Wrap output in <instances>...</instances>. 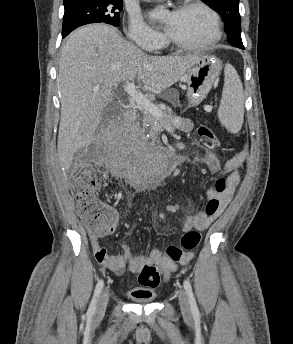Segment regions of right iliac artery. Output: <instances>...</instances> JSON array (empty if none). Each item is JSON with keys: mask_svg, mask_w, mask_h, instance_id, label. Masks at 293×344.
I'll use <instances>...</instances> for the list:
<instances>
[{"mask_svg": "<svg viewBox=\"0 0 293 344\" xmlns=\"http://www.w3.org/2000/svg\"><path fill=\"white\" fill-rule=\"evenodd\" d=\"M103 286H104L103 280H99L97 285H96L94 296H93L92 301L90 303L89 309L87 311L88 316H92L94 314L95 309H96L97 300H98V297L102 291Z\"/></svg>", "mask_w": 293, "mask_h": 344, "instance_id": "1", "label": "right iliac artery"}]
</instances>
